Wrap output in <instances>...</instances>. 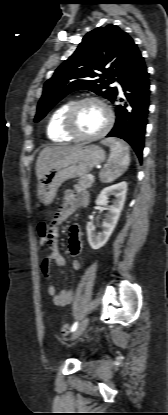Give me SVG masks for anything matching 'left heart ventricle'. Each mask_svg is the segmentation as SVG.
<instances>
[{
  "label": "left heart ventricle",
  "instance_id": "1",
  "mask_svg": "<svg viewBox=\"0 0 168 415\" xmlns=\"http://www.w3.org/2000/svg\"><path fill=\"white\" fill-rule=\"evenodd\" d=\"M106 120V112L99 104L86 103L77 110L74 125L80 134L93 135L104 127Z\"/></svg>",
  "mask_w": 168,
  "mask_h": 415
}]
</instances>
